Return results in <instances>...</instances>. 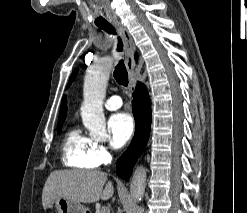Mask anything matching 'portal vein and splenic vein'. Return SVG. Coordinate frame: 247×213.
<instances>
[{"mask_svg": "<svg viewBox=\"0 0 247 213\" xmlns=\"http://www.w3.org/2000/svg\"><path fill=\"white\" fill-rule=\"evenodd\" d=\"M100 213H110V210H109L108 207L103 206V207L101 208V210H100Z\"/></svg>", "mask_w": 247, "mask_h": 213, "instance_id": "1", "label": "portal vein and splenic vein"}]
</instances>
